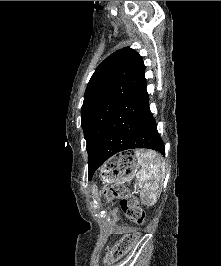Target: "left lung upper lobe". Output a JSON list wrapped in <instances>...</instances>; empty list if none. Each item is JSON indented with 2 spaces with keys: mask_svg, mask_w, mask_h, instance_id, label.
Returning <instances> with one entry per match:
<instances>
[{
  "mask_svg": "<svg viewBox=\"0 0 221 266\" xmlns=\"http://www.w3.org/2000/svg\"><path fill=\"white\" fill-rule=\"evenodd\" d=\"M144 72L142 57L131 48L114 52L96 68L86 87L81 112L88 164L117 110L146 81Z\"/></svg>",
  "mask_w": 221,
  "mask_h": 266,
  "instance_id": "5c2ea615",
  "label": "left lung upper lobe"
}]
</instances>
